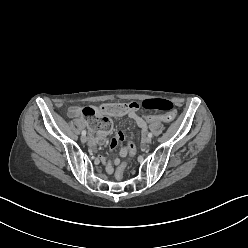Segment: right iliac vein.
I'll use <instances>...</instances> for the list:
<instances>
[{"label": "right iliac vein", "mask_w": 248, "mask_h": 248, "mask_svg": "<svg viewBox=\"0 0 248 248\" xmlns=\"http://www.w3.org/2000/svg\"><path fill=\"white\" fill-rule=\"evenodd\" d=\"M81 142L86 143L87 142V137L86 136H81Z\"/></svg>", "instance_id": "63e3f726"}]
</instances>
